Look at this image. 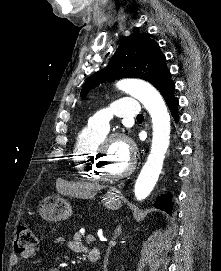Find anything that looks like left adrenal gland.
Listing matches in <instances>:
<instances>
[{"mask_svg": "<svg viewBox=\"0 0 221 271\" xmlns=\"http://www.w3.org/2000/svg\"><path fill=\"white\" fill-rule=\"evenodd\" d=\"M121 233H122V231H121V223H120V225H116L114 237H119V235H121Z\"/></svg>", "mask_w": 221, "mask_h": 271, "instance_id": "left-adrenal-gland-1", "label": "left adrenal gland"}]
</instances>
